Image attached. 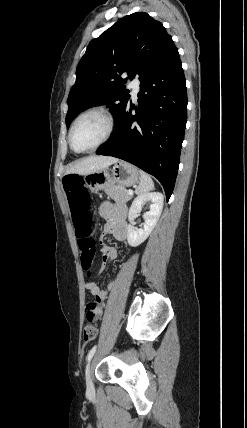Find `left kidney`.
<instances>
[{
    "label": "left kidney",
    "mask_w": 247,
    "mask_h": 428,
    "mask_svg": "<svg viewBox=\"0 0 247 428\" xmlns=\"http://www.w3.org/2000/svg\"><path fill=\"white\" fill-rule=\"evenodd\" d=\"M151 202L150 211L144 213V225L141 228L134 227V218L141 212L145 202ZM163 209V195L152 192L139 195L134 199L129 209V225L127 230V241L130 246L136 247L143 243L154 229Z\"/></svg>",
    "instance_id": "5707ae66"
}]
</instances>
